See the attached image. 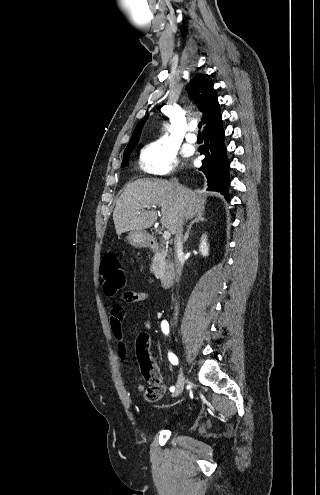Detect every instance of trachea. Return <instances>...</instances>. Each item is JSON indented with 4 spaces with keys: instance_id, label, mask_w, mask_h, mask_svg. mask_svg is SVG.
Masks as SVG:
<instances>
[{
    "instance_id": "obj_1",
    "label": "trachea",
    "mask_w": 320,
    "mask_h": 495,
    "mask_svg": "<svg viewBox=\"0 0 320 495\" xmlns=\"http://www.w3.org/2000/svg\"><path fill=\"white\" fill-rule=\"evenodd\" d=\"M201 127H202V123H199L198 128L201 129ZM199 134H201L200 131H199Z\"/></svg>"
}]
</instances>
